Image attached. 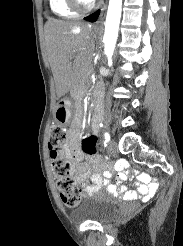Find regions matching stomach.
I'll return each instance as SVG.
<instances>
[{
  "label": "stomach",
  "instance_id": "stomach-1",
  "mask_svg": "<svg viewBox=\"0 0 183 246\" xmlns=\"http://www.w3.org/2000/svg\"><path fill=\"white\" fill-rule=\"evenodd\" d=\"M71 101L69 99H62L58 102L54 118L56 123L64 126L69 122L71 117Z\"/></svg>",
  "mask_w": 183,
  "mask_h": 246
}]
</instances>
